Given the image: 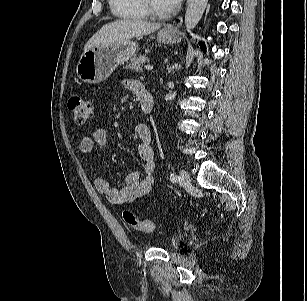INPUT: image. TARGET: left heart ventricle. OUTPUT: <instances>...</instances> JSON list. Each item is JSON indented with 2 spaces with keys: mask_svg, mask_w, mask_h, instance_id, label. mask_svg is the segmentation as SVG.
<instances>
[{
  "mask_svg": "<svg viewBox=\"0 0 307 301\" xmlns=\"http://www.w3.org/2000/svg\"><path fill=\"white\" fill-rule=\"evenodd\" d=\"M149 1L152 7L157 11L166 12L169 10L162 0H149Z\"/></svg>",
  "mask_w": 307,
  "mask_h": 301,
  "instance_id": "1",
  "label": "left heart ventricle"
}]
</instances>
